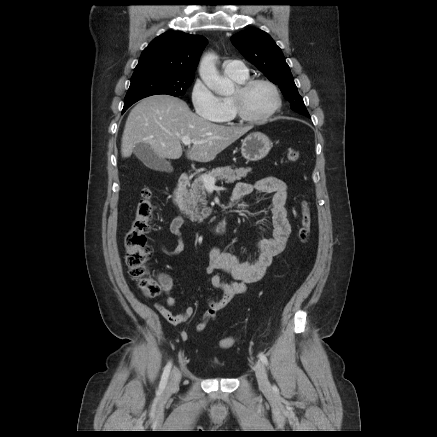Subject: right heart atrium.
I'll use <instances>...</instances> for the list:
<instances>
[{
    "instance_id": "right-heart-atrium-1",
    "label": "right heart atrium",
    "mask_w": 437,
    "mask_h": 437,
    "mask_svg": "<svg viewBox=\"0 0 437 437\" xmlns=\"http://www.w3.org/2000/svg\"><path fill=\"white\" fill-rule=\"evenodd\" d=\"M191 103L195 113L203 119L218 121L224 114V106L220 97L200 79L191 89Z\"/></svg>"
}]
</instances>
